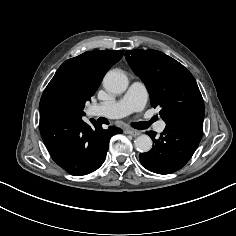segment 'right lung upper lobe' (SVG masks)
<instances>
[{
  "label": "right lung upper lobe",
  "mask_w": 236,
  "mask_h": 236,
  "mask_svg": "<svg viewBox=\"0 0 236 236\" xmlns=\"http://www.w3.org/2000/svg\"><path fill=\"white\" fill-rule=\"evenodd\" d=\"M123 52L90 51L66 60L44 90L40 111L49 108L50 96L59 90H72L90 100L106 71L122 58Z\"/></svg>",
  "instance_id": "cb5924a9"
}]
</instances>
